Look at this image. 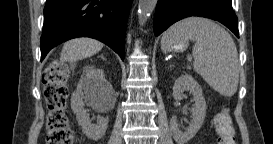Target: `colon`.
Here are the masks:
<instances>
[{
    "label": "colon",
    "mask_w": 273,
    "mask_h": 144,
    "mask_svg": "<svg viewBox=\"0 0 273 144\" xmlns=\"http://www.w3.org/2000/svg\"><path fill=\"white\" fill-rule=\"evenodd\" d=\"M68 68L63 64H51L43 73L44 95L49 110L47 120V144H72L74 133L65 111L68 99ZM218 144H235V131L228 109H222L214 118Z\"/></svg>",
    "instance_id": "1"
}]
</instances>
